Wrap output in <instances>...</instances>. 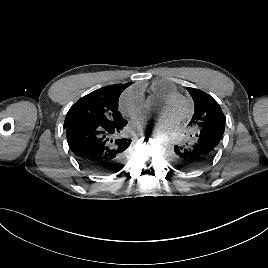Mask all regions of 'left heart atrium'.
Masks as SVG:
<instances>
[{
	"mask_svg": "<svg viewBox=\"0 0 268 268\" xmlns=\"http://www.w3.org/2000/svg\"><path fill=\"white\" fill-rule=\"evenodd\" d=\"M177 117L171 113H162L158 118V125L162 129H168L176 125ZM135 127L140 128L143 125V120L137 118L133 121Z\"/></svg>",
	"mask_w": 268,
	"mask_h": 268,
	"instance_id": "obj_1",
	"label": "left heart atrium"
}]
</instances>
